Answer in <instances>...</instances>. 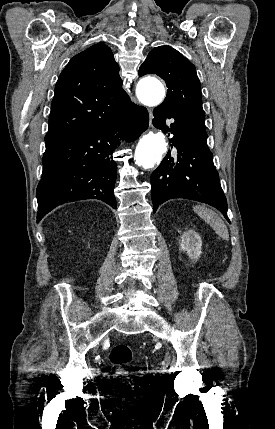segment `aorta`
I'll return each instance as SVG.
<instances>
[{
	"label": "aorta",
	"instance_id": "aorta-1",
	"mask_svg": "<svg viewBox=\"0 0 275 429\" xmlns=\"http://www.w3.org/2000/svg\"><path fill=\"white\" fill-rule=\"evenodd\" d=\"M138 99L147 106L159 105L165 97L163 84L156 78L142 79L137 87ZM167 150V143L161 132H149L138 142L135 157L138 165L151 168L160 162Z\"/></svg>",
	"mask_w": 275,
	"mask_h": 429
}]
</instances>
